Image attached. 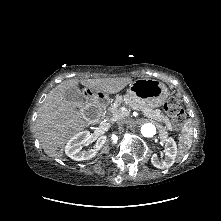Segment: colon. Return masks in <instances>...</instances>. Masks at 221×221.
<instances>
[{
    "mask_svg": "<svg viewBox=\"0 0 221 221\" xmlns=\"http://www.w3.org/2000/svg\"><path fill=\"white\" fill-rule=\"evenodd\" d=\"M163 110L174 119L177 126L184 122L185 112L176 98L171 97L167 99L163 105Z\"/></svg>",
    "mask_w": 221,
    "mask_h": 221,
    "instance_id": "obj_1",
    "label": "colon"
}]
</instances>
